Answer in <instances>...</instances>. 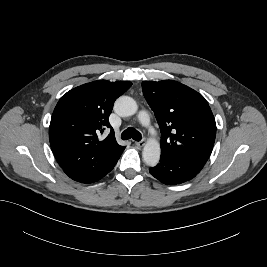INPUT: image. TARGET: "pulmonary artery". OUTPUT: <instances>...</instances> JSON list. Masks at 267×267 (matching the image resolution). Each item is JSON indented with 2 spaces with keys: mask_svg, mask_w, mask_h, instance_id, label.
Wrapping results in <instances>:
<instances>
[{
  "mask_svg": "<svg viewBox=\"0 0 267 267\" xmlns=\"http://www.w3.org/2000/svg\"><path fill=\"white\" fill-rule=\"evenodd\" d=\"M138 118L141 124L148 127L150 126V117L147 112H140Z\"/></svg>",
  "mask_w": 267,
  "mask_h": 267,
  "instance_id": "pulmonary-artery-1",
  "label": "pulmonary artery"
}]
</instances>
